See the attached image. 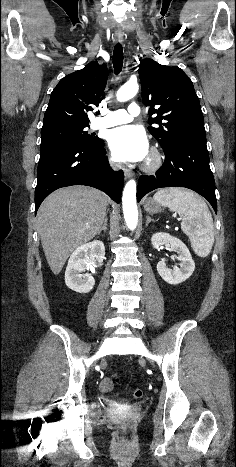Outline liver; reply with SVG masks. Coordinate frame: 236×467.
<instances>
[{
	"mask_svg": "<svg viewBox=\"0 0 236 467\" xmlns=\"http://www.w3.org/2000/svg\"><path fill=\"white\" fill-rule=\"evenodd\" d=\"M108 204L103 192L87 186L60 188L43 201L37 213L38 232L55 275L70 254L101 229Z\"/></svg>",
	"mask_w": 236,
	"mask_h": 467,
	"instance_id": "1",
	"label": "liver"
}]
</instances>
